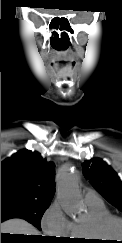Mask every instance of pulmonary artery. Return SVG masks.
I'll return each instance as SVG.
<instances>
[{
  "instance_id": "e3ab8cb5",
  "label": "pulmonary artery",
  "mask_w": 122,
  "mask_h": 243,
  "mask_svg": "<svg viewBox=\"0 0 122 243\" xmlns=\"http://www.w3.org/2000/svg\"><path fill=\"white\" fill-rule=\"evenodd\" d=\"M85 202H98L101 201L98 193L92 189H86L84 192Z\"/></svg>"
}]
</instances>
